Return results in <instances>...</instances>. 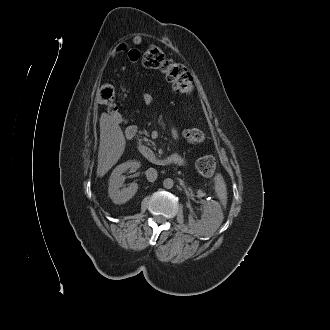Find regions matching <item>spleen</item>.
I'll return each mask as SVG.
<instances>
[{
  "instance_id": "3e777b00",
  "label": "spleen",
  "mask_w": 330,
  "mask_h": 330,
  "mask_svg": "<svg viewBox=\"0 0 330 330\" xmlns=\"http://www.w3.org/2000/svg\"><path fill=\"white\" fill-rule=\"evenodd\" d=\"M215 191L217 193L218 198L220 199L223 206L227 204V190L226 184L221 176V174H217L215 177Z\"/></svg>"
}]
</instances>
